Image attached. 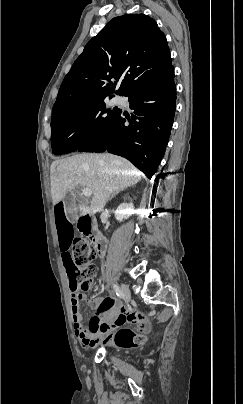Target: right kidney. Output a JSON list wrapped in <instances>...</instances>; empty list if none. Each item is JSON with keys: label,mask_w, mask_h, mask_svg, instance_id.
Instances as JSON below:
<instances>
[{"label": "right kidney", "mask_w": 243, "mask_h": 404, "mask_svg": "<svg viewBox=\"0 0 243 404\" xmlns=\"http://www.w3.org/2000/svg\"><path fill=\"white\" fill-rule=\"evenodd\" d=\"M127 208V204H121L119 208H117L115 212V218L118 222H122V220H127L129 218V214H126L125 210Z\"/></svg>", "instance_id": "ca27d5eb"}]
</instances>
